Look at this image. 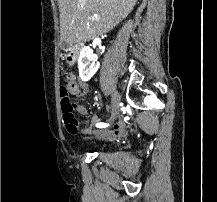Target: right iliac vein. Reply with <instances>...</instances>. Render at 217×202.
Instances as JSON below:
<instances>
[{"mask_svg": "<svg viewBox=\"0 0 217 202\" xmlns=\"http://www.w3.org/2000/svg\"><path fill=\"white\" fill-rule=\"evenodd\" d=\"M112 112H111V117H110V121H114L120 111L119 108V103H120V94L115 90L112 94ZM101 134L104 133V131H100Z\"/></svg>", "mask_w": 217, "mask_h": 202, "instance_id": "1", "label": "right iliac vein"}]
</instances>
